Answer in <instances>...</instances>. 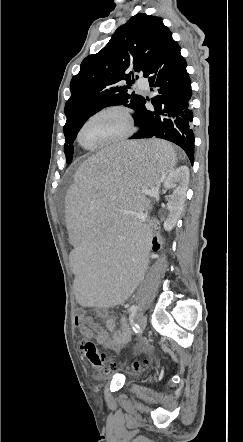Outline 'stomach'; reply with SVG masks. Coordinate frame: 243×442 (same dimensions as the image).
<instances>
[{"label":"stomach","instance_id":"obj_1","mask_svg":"<svg viewBox=\"0 0 243 442\" xmlns=\"http://www.w3.org/2000/svg\"><path fill=\"white\" fill-rule=\"evenodd\" d=\"M154 184H150V187L153 186Z\"/></svg>","mask_w":243,"mask_h":442}]
</instances>
